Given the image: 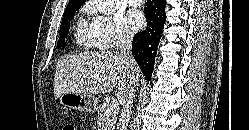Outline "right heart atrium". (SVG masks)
<instances>
[{"mask_svg": "<svg viewBox=\"0 0 249 130\" xmlns=\"http://www.w3.org/2000/svg\"><path fill=\"white\" fill-rule=\"evenodd\" d=\"M85 11L92 16L90 27L99 49L110 50L124 46L131 41L133 34L122 14L118 12L98 13L93 4H87Z\"/></svg>", "mask_w": 249, "mask_h": 130, "instance_id": "right-heart-atrium-1", "label": "right heart atrium"}]
</instances>
